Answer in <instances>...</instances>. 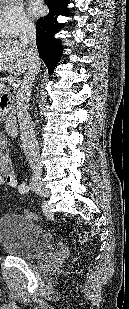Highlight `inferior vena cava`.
<instances>
[{"mask_svg": "<svg viewBox=\"0 0 129 309\" xmlns=\"http://www.w3.org/2000/svg\"><path fill=\"white\" fill-rule=\"evenodd\" d=\"M20 43L27 48V54L32 64L30 69L24 76L23 82L17 92V115L20 125L26 129L28 133V148L27 158L33 166L38 165L39 161V147L38 142L33 134L31 117L28 112L29 99L31 93V87L35 82V77L40 70V58L36 46V30L31 21H24L21 25V31L19 35Z\"/></svg>", "mask_w": 129, "mask_h": 309, "instance_id": "inferior-vena-cava-1", "label": "inferior vena cava"}]
</instances>
